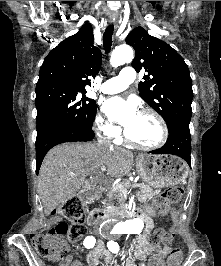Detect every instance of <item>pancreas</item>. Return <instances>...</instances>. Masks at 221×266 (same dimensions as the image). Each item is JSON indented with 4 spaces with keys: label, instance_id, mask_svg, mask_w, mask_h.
<instances>
[{
    "label": "pancreas",
    "instance_id": "pancreas-1",
    "mask_svg": "<svg viewBox=\"0 0 221 266\" xmlns=\"http://www.w3.org/2000/svg\"><path fill=\"white\" fill-rule=\"evenodd\" d=\"M125 188L131 187V183L126 180L121 183ZM140 188V191L137 192V197L138 200L141 202L151 200L155 195H157L160 191L159 190H153L152 188L149 187V185H146L144 183H141L138 185ZM107 192V197L109 203L107 204V207H105V211L110 212L115 205V200L118 201L121 207H123L124 202H125V196L123 193L116 187H107L106 190Z\"/></svg>",
    "mask_w": 221,
    "mask_h": 266
}]
</instances>
